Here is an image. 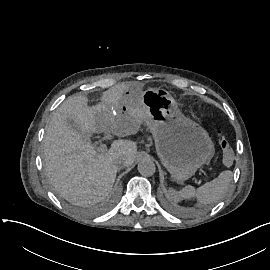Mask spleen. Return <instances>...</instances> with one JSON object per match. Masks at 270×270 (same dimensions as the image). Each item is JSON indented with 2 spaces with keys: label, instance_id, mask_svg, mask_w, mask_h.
<instances>
[{
  "label": "spleen",
  "instance_id": "3e777b00",
  "mask_svg": "<svg viewBox=\"0 0 270 270\" xmlns=\"http://www.w3.org/2000/svg\"><path fill=\"white\" fill-rule=\"evenodd\" d=\"M232 176L233 173L231 170H224L217 178L196 189L192 186H187L180 191L169 189L168 195L169 197H177L178 199L196 198L198 203L210 204L211 202L220 199L222 195L225 194L229 187Z\"/></svg>",
  "mask_w": 270,
  "mask_h": 270
}]
</instances>
